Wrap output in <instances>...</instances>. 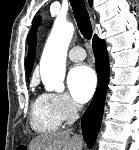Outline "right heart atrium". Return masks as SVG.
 I'll list each match as a JSON object with an SVG mask.
<instances>
[{
  "label": "right heart atrium",
  "mask_w": 139,
  "mask_h": 150,
  "mask_svg": "<svg viewBox=\"0 0 139 150\" xmlns=\"http://www.w3.org/2000/svg\"><path fill=\"white\" fill-rule=\"evenodd\" d=\"M49 96L63 121H71L77 116L80 107L68 95L52 93Z\"/></svg>",
  "instance_id": "1"
}]
</instances>
